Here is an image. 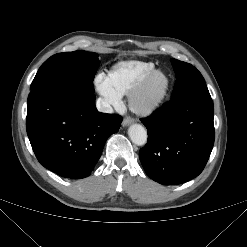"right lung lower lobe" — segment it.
I'll return each mask as SVG.
<instances>
[{"label":"right lung lower lobe","instance_id":"right-lung-lower-lobe-1","mask_svg":"<svg viewBox=\"0 0 247 247\" xmlns=\"http://www.w3.org/2000/svg\"><path fill=\"white\" fill-rule=\"evenodd\" d=\"M27 106V134L38 161L65 178L89 176L122 122L117 114L98 112L94 93L66 86L33 89Z\"/></svg>","mask_w":247,"mask_h":247}]
</instances>
